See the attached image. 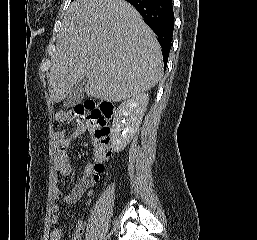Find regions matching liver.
Instances as JSON below:
<instances>
[{
	"label": "liver",
	"instance_id": "obj_1",
	"mask_svg": "<svg viewBox=\"0 0 257 240\" xmlns=\"http://www.w3.org/2000/svg\"><path fill=\"white\" fill-rule=\"evenodd\" d=\"M52 62L47 77L54 102L84 77L88 96L115 102L148 91L163 75L155 34L125 0L71 3Z\"/></svg>",
	"mask_w": 257,
	"mask_h": 240
}]
</instances>
